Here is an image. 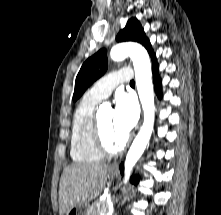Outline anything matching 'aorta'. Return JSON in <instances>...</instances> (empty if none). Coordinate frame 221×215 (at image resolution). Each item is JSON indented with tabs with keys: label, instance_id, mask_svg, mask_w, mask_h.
<instances>
[{
	"label": "aorta",
	"instance_id": "aorta-1",
	"mask_svg": "<svg viewBox=\"0 0 221 215\" xmlns=\"http://www.w3.org/2000/svg\"><path fill=\"white\" fill-rule=\"evenodd\" d=\"M128 56L133 61L137 91L144 112V121L125 159V183L128 181L133 167L143 154L151 138L155 118L154 91L149 55L144 47L133 42L117 44L110 51V57L114 61H121ZM106 106V104L102 105V107Z\"/></svg>",
	"mask_w": 221,
	"mask_h": 215
}]
</instances>
